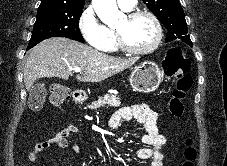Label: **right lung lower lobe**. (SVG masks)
<instances>
[{"instance_id": "1", "label": "right lung lower lobe", "mask_w": 227, "mask_h": 166, "mask_svg": "<svg viewBox=\"0 0 227 166\" xmlns=\"http://www.w3.org/2000/svg\"><path fill=\"white\" fill-rule=\"evenodd\" d=\"M30 48H32V47L28 46L27 50L30 49Z\"/></svg>"}]
</instances>
